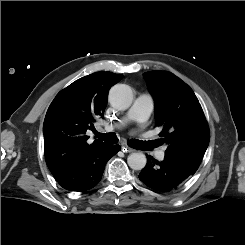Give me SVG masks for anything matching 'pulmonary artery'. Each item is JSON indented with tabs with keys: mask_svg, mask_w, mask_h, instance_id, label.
I'll return each instance as SVG.
<instances>
[{
	"mask_svg": "<svg viewBox=\"0 0 245 245\" xmlns=\"http://www.w3.org/2000/svg\"><path fill=\"white\" fill-rule=\"evenodd\" d=\"M153 108H154V103H153L152 96L147 93L141 94L134 100L132 106L127 111L125 116L122 118L120 123L116 125H107L105 129L107 131H112L115 128L119 129L125 126L126 124H128L129 122H137L143 125L149 119L153 111ZM155 155L157 159L163 160L165 156V152L164 150H158L155 153Z\"/></svg>",
	"mask_w": 245,
	"mask_h": 245,
	"instance_id": "obj_1",
	"label": "pulmonary artery"
}]
</instances>
